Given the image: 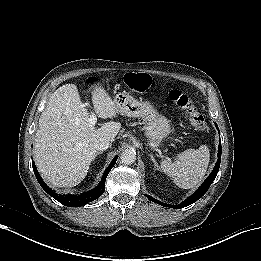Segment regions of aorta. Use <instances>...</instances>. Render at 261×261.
<instances>
[{
    "label": "aorta",
    "mask_w": 261,
    "mask_h": 261,
    "mask_svg": "<svg viewBox=\"0 0 261 261\" xmlns=\"http://www.w3.org/2000/svg\"><path fill=\"white\" fill-rule=\"evenodd\" d=\"M120 159L125 165L133 164L136 160V152L132 149H126L121 153Z\"/></svg>",
    "instance_id": "1"
}]
</instances>
